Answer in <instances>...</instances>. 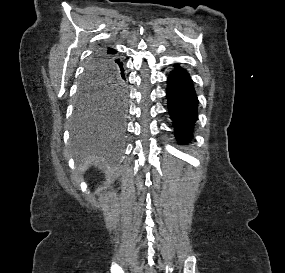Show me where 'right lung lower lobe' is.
<instances>
[{"label":"right lung lower lobe","mask_w":285,"mask_h":273,"mask_svg":"<svg viewBox=\"0 0 285 273\" xmlns=\"http://www.w3.org/2000/svg\"><path fill=\"white\" fill-rule=\"evenodd\" d=\"M114 67L116 68L117 77L124 83L125 76H124V69L123 63L118 59L111 57Z\"/></svg>","instance_id":"1"}]
</instances>
